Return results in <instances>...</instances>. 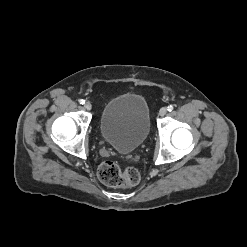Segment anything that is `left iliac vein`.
<instances>
[{
    "label": "left iliac vein",
    "instance_id": "obj_1",
    "mask_svg": "<svg viewBox=\"0 0 247 247\" xmlns=\"http://www.w3.org/2000/svg\"><path fill=\"white\" fill-rule=\"evenodd\" d=\"M167 113V108L166 107H162L160 110H159V115L160 116H165Z\"/></svg>",
    "mask_w": 247,
    "mask_h": 247
}]
</instances>
